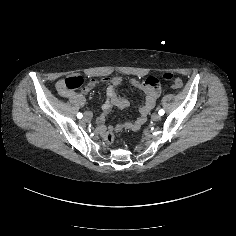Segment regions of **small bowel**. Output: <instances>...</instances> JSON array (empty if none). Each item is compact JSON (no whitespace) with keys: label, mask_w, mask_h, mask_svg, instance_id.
I'll list each match as a JSON object with an SVG mask.
<instances>
[{"label":"small bowel","mask_w":236,"mask_h":236,"mask_svg":"<svg viewBox=\"0 0 236 236\" xmlns=\"http://www.w3.org/2000/svg\"><path fill=\"white\" fill-rule=\"evenodd\" d=\"M103 80H98V81H91L88 86H87V90L91 89L93 86H95L96 83L98 82H102ZM61 82L60 81L58 84H57V87L58 89H60V85H61ZM62 95L66 96V97H69L71 98L72 100L73 99H76V98H80L83 100V94L81 93H71V92H61ZM114 95L116 96V94L114 93ZM117 97V96H116ZM155 97L156 95L154 96L153 99L149 100L145 106L141 107L140 108V114H141V117L136 120L134 123L131 124V127L130 128H135L137 127L138 125H140L143 121V117L148 113V111L153 107L154 103H155ZM118 98V97H117ZM121 100V103H113L114 105H117L119 107H126L128 105V102L126 100H123V99H120Z\"/></svg>","instance_id":"obj_1"}]
</instances>
